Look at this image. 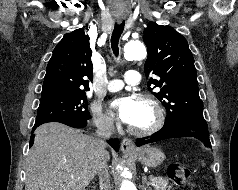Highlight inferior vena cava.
Listing matches in <instances>:
<instances>
[{
  "instance_id": "602c4592",
  "label": "inferior vena cava",
  "mask_w": 238,
  "mask_h": 190,
  "mask_svg": "<svg viewBox=\"0 0 238 190\" xmlns=\"http://www.w3.org/2000/svg\"><path fill=\"white\" fill-rule=\"evenodd\" d=\"M97 127V166L99 184L101 190H109L110 181L107 170V151L106 139L110 138L115 131L114 123L111 118L101 117L95 121Z\"/></svg>"
}]
</instances>
